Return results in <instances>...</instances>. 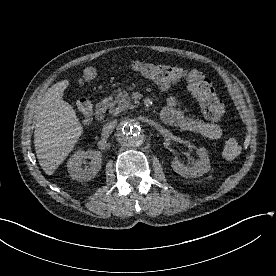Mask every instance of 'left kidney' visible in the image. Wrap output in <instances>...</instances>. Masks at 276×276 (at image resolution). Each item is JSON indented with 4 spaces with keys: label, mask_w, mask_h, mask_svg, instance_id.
<instances>
[{
    "label": "left kidney",
    "mask_w": 276,
    "mask_h": 276,
    "mask_svg": "<svg viewBox=\"0 0 276 276\" xmlns=\"http://www.w3.org/2000/svg\"><path fill=\"white\" fill-rule=\"evenodd\" d=\"M196 152L200 159L195 161L193 166L186 167L180 160H173L171 162L173 170L185 178H196L207 173L210 170V160L206 149L198 148Z\"/></svg>",
    "instance_id": "left-kidney-1"
}]
</instances>
